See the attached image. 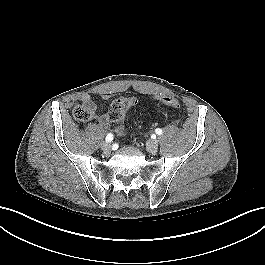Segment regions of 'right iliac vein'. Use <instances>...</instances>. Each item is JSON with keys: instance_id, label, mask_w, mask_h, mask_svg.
I'll list each match as a JSON object with an SVG mask.
<instances>
[{"instance_id": "63e3f726", "label": "right iliac vein", "mask_w": 265, "mask_h": 265, "mask_svg": "<svg viewBox=\"0 0 265 265\" xmlns=\"http://www.w3.org/2000/svg\"><path fill=\"white\" fill-rule=\"evenodd\" d=\"M101 149L105 152V153H109L111 151V144L110 143H102L101 144Z\"/></svg>"}]
</instances>
